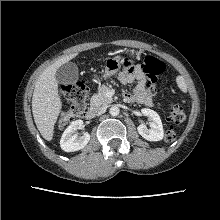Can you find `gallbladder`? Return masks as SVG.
<instances>
[{"label":"gallbladder","instance_id":"gallbladder-1","mask_svg":"<svg viewBox=\"0 0 220 220\" xmlns=\"http://www.w3.org/2000/svg\"><path fill=\"white\" fill-rule=\"evenodd\" d=\"M59 84H75L78 81V67L75 63L68 62L61 65L55 74Z\"/></svg>","mask_w":220,"mask_h":220}]
</instances>
